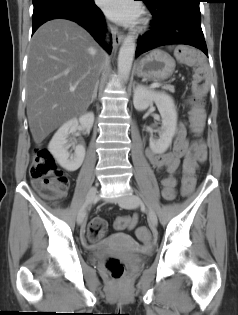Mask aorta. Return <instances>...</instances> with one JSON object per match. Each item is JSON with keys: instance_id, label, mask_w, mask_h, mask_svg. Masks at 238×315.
<instances>
[{"instance_id": "762f6f07", "label": "aorta", "mask_w": 238, "mask_h": 315, "mask_svg": "<svg viewBox=\"0 0 238 315\" xmlns=\"http://www.w3.org/2000/svg\"><path fill=\"white\" fill-rule=\"evenodd\" d=\"M135 50L136 44L134 37L127 36L120 47L118 55V73L125 81L130 75Z\"/></svg>"}]
</instances>
